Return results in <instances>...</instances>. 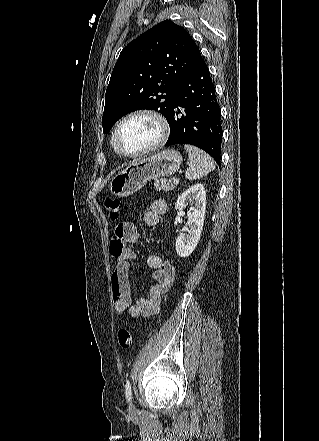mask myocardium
Returning <instances> with one entry per match:
<instances>
[{"label": "myocardium", "mask_w": 319, "mask_h": 441, "mask_svg": "<svg viewBox=\"0 0 319 441\" xmlns=\"http://www.w3.org/2000/svg\"><path fill=\"white\" fill-rule=\"evenodd\" d=\"M135 117H147L151 120H153L157 127H158V137L151 145L147 146L146 148L137 151V152H127L125 151L119 142V133L122 128V126L130 119ZM169 123L167 119L158 111L153 109H136L128 114H126L123 118L120 119V121L117 123L114 133H113V142L114 147L117 150V152L123 156L136 158L141 157L144 155H147L149 153H152L156 150H158L160 147L164 145V143L167 141L169 136Z\"/></svg>", "instance_id": "f54148a6"}]
</instances>
